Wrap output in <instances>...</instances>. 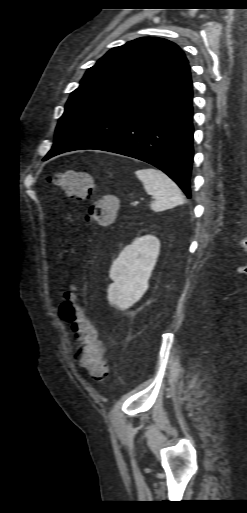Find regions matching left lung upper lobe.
<instances>
[{"label":"left lung upper lobe","mask_w":247,"mask_h":513,"mask_svg":"<svg viewBox=\"0 0 247 513\" xmlns=\"http://www.w3.org/2000/svg\"><path fill=\"white\" fill-rule=\"evenodd\" d=\"M187 66L183 51L162 38L142 37L111 49L87 70L80 86L70 95L56 127L52 149Z\"/></svg>","instance_id":"1"}]
</instances>
